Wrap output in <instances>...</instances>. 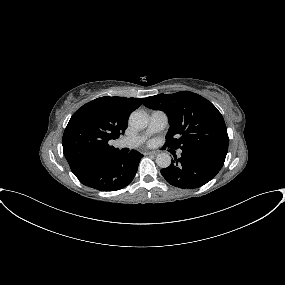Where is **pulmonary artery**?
<instances>
[{
	"instance_id": "obj_1",
	"label": "pulmonary artery",
	"mask_w": 285,
	"mask_h": 285,
	"mask_svg": "<svg viewBox=\"0 0 285 285\" xmlns=\"http://www.w3.org/2000/svg\"><path fill=\"white\" fill-rule=\"evenodd\" d=\"M168 122V116L164 111L154 110L149 115V124L146 131L130 137H123L117 142L120 148H135L141 145L147 137L163 130Z\"/></svg>"
}]
</instances>
